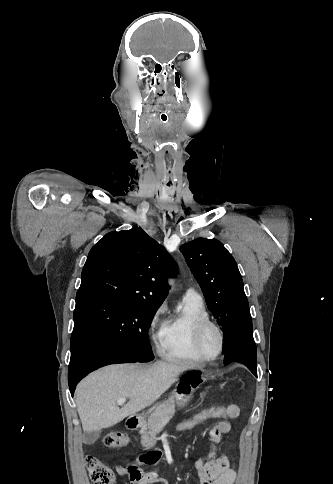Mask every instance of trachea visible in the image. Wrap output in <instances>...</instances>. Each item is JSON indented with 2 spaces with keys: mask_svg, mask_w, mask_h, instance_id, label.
<instances>
[{
  "mask_svg": "<svg viewBox=\"0 0 333 484\" xmlns=\"http://www.w3.org/2000/svg\"><path fill=\"white\" fill-rule=\"evenodd\" d=\"M163 116H164V115H162V117H161V118H162V120H163V121H166V120H167V117H166V116H164V118H163Z\"/></svg>",
  "mask_w": 333,
  "mask_h": 484,
  "instance_id": "obj_1",
  "label": "trachea"
}]
</instances>
